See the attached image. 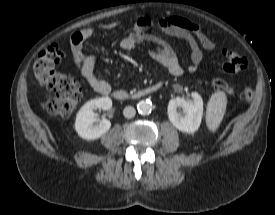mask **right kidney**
Listing matches in <instances>:
<instances>
[{
  "label": "right kidney",
  "mask_w": 275,
  "mask_h": 215,
  "mask_svg": "<svg viewBox=\"0 0 275 215\" xmlns=\"http://www.w3.org/2000/svg\"><path fill=\"white\" fill-rule=\"evenodd\" d=\"M112 107V100L109 97H102L88 101L82 106L76 116L75 130L78 135L86 140H95L104 135L111 127L107 119H102L98 125L96 121V109L109 110Z\"/></svg>",
  "instance_id": "1"
}]
</instances>
